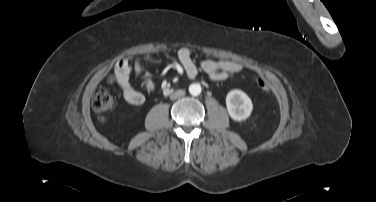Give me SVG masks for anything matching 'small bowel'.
<instances>
[{"label":"small bowel","mask_w":376,"mask_h":202,"mask_svg":"<svg viewBox=\"0 0 376 202\" xmlns=\"http://www.w3.org/2000/svg\"><path fill=\"white\" fill-rule=\"evenodd\" d=\"M177 59L188 77L194 78L198 75V67L192 58L190 48H180L177 52ZM200 66L212 81H224L243 70L241 63L226 59H205ZM132 72L137 75L140 74V60H135L132 66L125 59L117 61L114 65L115 80L122 90L124 100L130 105L138 106L143 104L145 97L132 84L130 79ZM144 85L147 90L154 88V83L149 77L145 78Z\"/></svg>","instance_id":"small-bowel-1"}]
</instances>
